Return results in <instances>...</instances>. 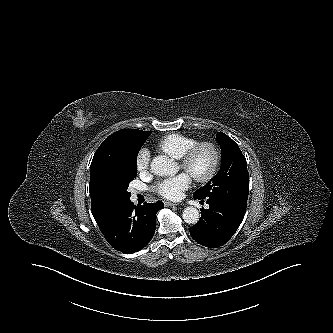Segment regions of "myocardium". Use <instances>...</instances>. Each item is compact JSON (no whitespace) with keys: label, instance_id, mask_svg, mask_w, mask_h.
<instances>
[{"label":"myocardium","instance_id":"obj_1","mask_svg":"<svg viewBox=\"0 0 333 333\" xmlns=\"http://www.w3.org/2000/svg\"><path fill=\"white\" fill-rule=\"evenodd\" d=\"M201 150H207L210 153L211 155L210 166L204 174L197 175L190 173L191 164L195 159L196 155ZM220 160H221V155L219 149L214 143L209 141L196 143L183 155L181 159H179L181 168L184 169L186 172H188L192 176V178L199 183H206L216 175L220 165Z\"/></svg>","mask_w":333,"mask_h":333}]
</instances>
